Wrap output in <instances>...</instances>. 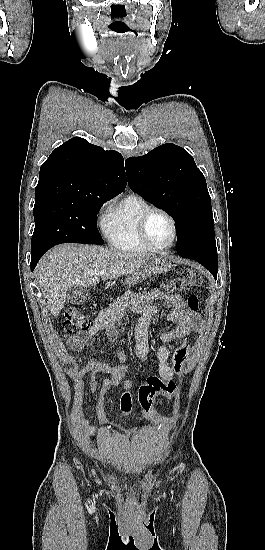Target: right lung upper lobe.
<instances>
[{
	"label": "right lung upper lobe",
	"mask_w": 265,
	"mask_h": 550,
	"mask_svg": "<svg viewBox=\"0 0 265 550\" xmlns=\"http://www.w3.org/2000/svg\"><path fill=\"white\" fill-rule=\"evenodd\" d=\"M126 184L120 153L74 137L56 148L41 166L35 197L113 198Z\"/></svg>",
	"instance_id": "right-lung-upper-lobe-1"
}]
</instances>
